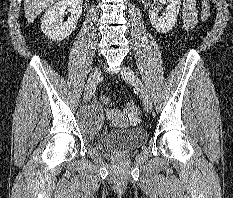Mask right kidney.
<instances>
[{"label":"right kidney","instance_id":"1","mask_svg":"<svg viewBox=\"0 0 233 198\" xmlns=\"http://www.w3.org/2000/svg\"><path fill=\"white\" fill-rule=\"evenodd\" d=\"M83 0H60L49 7L41 22L42 32L51 40L61 41L76 28L82 13ZM69 9L71 16L63 22L62 15Z\"/></svg>","mask_w":233,"mask_h":198}]
</instances>
